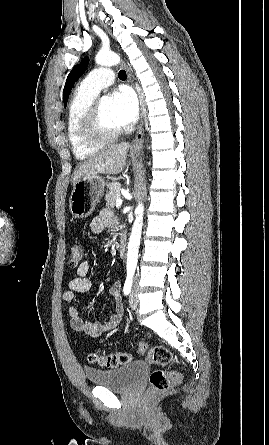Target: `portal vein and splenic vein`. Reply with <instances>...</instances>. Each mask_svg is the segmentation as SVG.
Masks as SVG:
<instances>
[{
    "label": "portal vein and splenic vein",
    "mask_w": 269,
    "mask_h": 445,
    "mask_svg": "<svg viewBox=\"0 0 269 445\" xmlns=\"http://www.w3.org/2000/svg\"><path fill=\"white\" fill-rule=\"evenodd\" d=\"M122 205V199H117L116 200V207H120Z\"/></svg>",
    "instance_id": "1"
}]
</instances>
